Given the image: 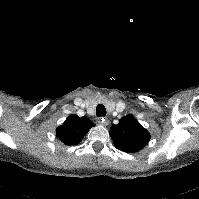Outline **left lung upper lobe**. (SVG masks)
Listing matches in <instances>:
<instances>
[{
  "instance_id": "5c2ea615",
  "label": "left lung upper lobe",
  "mask_w": 199,
  "mask_h": 199,
  "mask_svg": "<svg viewBox=\"0 0 199 199\" xmlns=\"http://www.w3.org/2000/svg\"><path fill=\"white\" fill-rule=\"evenodd\" d=\"M110 136L117 149L134 153L141 150L150 140L149 132L129 114L110 128Z\"/></svg>"
}]
</instances>
